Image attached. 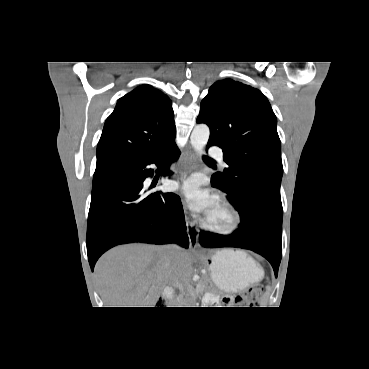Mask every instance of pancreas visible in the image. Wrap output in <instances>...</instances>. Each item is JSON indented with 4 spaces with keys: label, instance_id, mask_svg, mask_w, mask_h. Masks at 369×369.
Returning <instances> with one entry per match:
<instances>
[{
    "label": "pancreas",
    "instance_id": "cf45deb5",
    "mask_svg": "<svg viewBox=\"0 0 369 369\" xmlns=\"http://www.w3.org/2000/svg\"><path fill=\"white\" fill-rule=\"evenodd\" d=\"M204 289H205V285L202 281H200L197 285V292L202 293L204 291ZM193 298H195V295H193ZM184 303L188 304V303H190V300L187 298V299L184 300Z\"/></svg>",
    "mask_w": 369,
    "mask_h": 369
}]
</instances>
